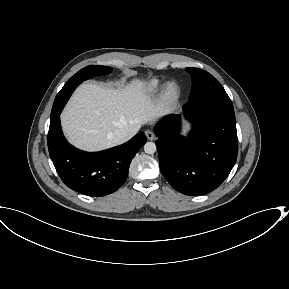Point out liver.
Segmentation results:
<instances>
[{
  "mask_svg": "<svg viewBox=\"0 0 289 289\" xmlns=\"http://www.w3.org/2000/svg\"><path fill=\"white\" fill-rule=\"evenodd\" d=\"M173 110L168 104L154 103L140 80H133L123 89L84 83L66 105L61 122L71 144L98 151L116 145L109 138L115 130L124 129L131 138L142 125Z\"/></svg>",
  "mask_w": 289,
  "mask_h": 289,
  "instance_id": "1",
  "label": "liver"
}]
</instances>
